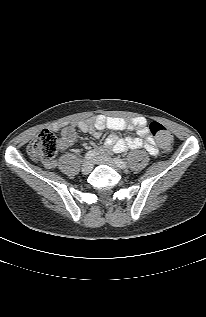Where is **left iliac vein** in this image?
<instances>
[{"mask_svg": "<svg viewBox=\"0 0 206 317\" xmlns=\"http://www.w3.org/2000/svg\"><path fill=\"white\" fill-rule=\"evenodd\" d=\"M94 163L96 164H107L109 166H111L114 169H119L116 162L110 158L109 156H100L97 157L96 159H94Z\"/></svg>", "mask_w": 206, "mask_h": 317, "instance_id": "1", "label": "left iliac vein"}]
</instances>
